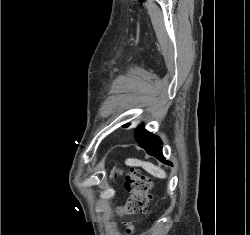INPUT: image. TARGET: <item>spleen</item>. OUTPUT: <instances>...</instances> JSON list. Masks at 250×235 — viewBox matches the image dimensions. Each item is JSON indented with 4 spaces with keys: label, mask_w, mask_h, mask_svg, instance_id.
Returning <instances> with one entry per match:
<instances>
[{
    "label": "spleen",
    "mask_w": 250,
    "mask_h": 235,
    "mask_svg": "<svg viewBox=\"0 0 250 235\" xmlns=\"http://www.w3.org/2000/svg\"><path fill=\"white\" fill-rule=\"evenodd\" d=\"M125 163L128 166H140L149 174L157 178L164 179L167 177V174L165 173L164 170H162L161 168L155 166L154 164L150 162H143V161L136 160V159H127Z\"/></svg>",
    "instance_id": "obj_1"
}]
</instances>
